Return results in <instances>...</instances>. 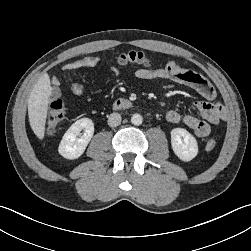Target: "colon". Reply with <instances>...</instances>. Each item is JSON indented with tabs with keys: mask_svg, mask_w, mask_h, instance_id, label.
Wrapping results in <instances>:
<instances>
[{
	"mask_svg": "<svg viewBox=\"0 0 251 251\" xmlns=\"http://www.w3.org/2000/svg\"><path fill=\"white\" fill-rule=\"evenodd\" d=\"M119 64H141L149 65V60L142 51H129L121 54L117 58ZM66 104L62 99H55L49 110L47 120H46V134L48 136H53L59 130L65 115H66ZM216 146L215 139H209L206 143V149L212 150Z\"/></svg>",
	"mask_w": 251,
	"mask_h": 251,
	"instance_id": "colon-1",
	"label": "colon"
}]
</instances>
